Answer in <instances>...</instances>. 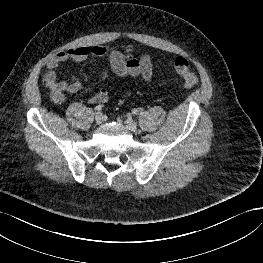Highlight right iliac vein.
I'll return each mask as SVG.
<instances>
[{
	"mask_svg": "<svg viewBox=\"0 0 263 263\" xmlns=\"http://www.w3.org/2000/svg\"><path fill=\"white\" fill-rule=\"evenodd\" d=\"M103 114L101 112H97L96 115H95V122L97 124H101L103 122Z\"/></svg>",
	"mask_w": 263,
	"mask_h": 263,
	"instance_id": "1",
	"label": "right iliac vein"
}]
</instances>
